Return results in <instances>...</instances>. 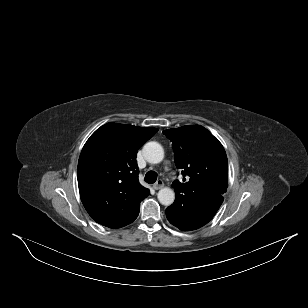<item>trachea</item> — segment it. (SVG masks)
I'll return each mask as SVG.
<instances>
[{
	"mask_svg": "<svg viewBox=\"0 0 308 308\" xmlns=\"http://www.w3.org/2000/svg\"><path fill=\"white\" fill-rule=\"evenodd\" d=\"M157 180V173L154 171H148L145 175V181L149 184L155 183Z\"/></svg>",
	"mask_w": 308,
	"mask_h": 308,
	"instance_id": "1",
	"label": "trachea"
}]
</instances>
